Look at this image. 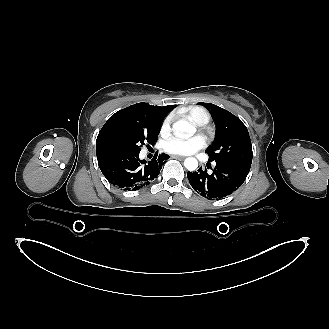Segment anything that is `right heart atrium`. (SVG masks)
I'll list each match as a JSON object with an SVG mask.
<instances>
[{"instance_id":"right-heart-atrium-1","label":"right heart atrium","mask_w":329,"mask_h":329,"mask_svg":"<svg viewBox=\"0 0 329 329\" xmlns=\"http://www.w3.org/2000/svg\"><path fill=\"white\" fill-rule=\"evenodd\" d=\"M172 115H168L162 122L160 131L162 135H167L171 130Z\"/></svg>"}]
</instances>
